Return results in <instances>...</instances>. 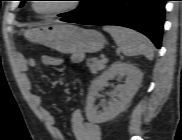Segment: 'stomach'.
Wrapping results in <instances>:
<instances>
[{"mask_svg":"<svg viewBox=\"0 0 182 140\" xmlns=\"http://www.w3.org/2000/svg\"><path fill=\"white\" fill-rule=\"evenodd\" d=\"M25 36L64 54L94 53L103 49L104 36L95 30L82 29L71 24H47L32 28Z\"/></svg>","mask_w":182,"mask_h":140,"instance_id":"0dacf381","label":"stomach"}]
</instances>
